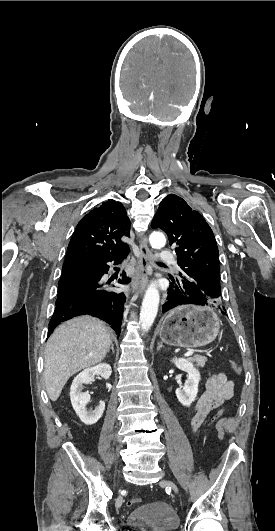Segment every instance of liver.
Wrapping results in <instances>:
<instances>
[{
	"label": "liver",
	"instance_id": "1",
	"mask_svg": "<svg viewBox=\"0 0 275 531\" xmlns=\"http://www.w3.org/2000/svg\"><path fill=\"white\" fill-rule=\"evenodd\" d=\"M110 335L103 321L77 317L59 325L47 341L44 381L51 401H57L68 379L101 363L110 349Z\"/></svg>",
	"mask_w": 275,
	"mask_h": 531
}]
</instances>
